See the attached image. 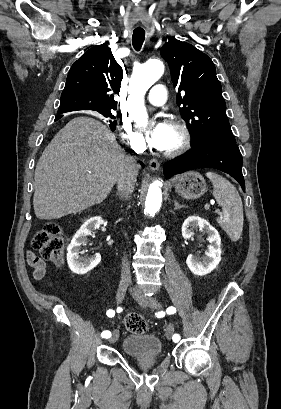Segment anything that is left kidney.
<instances>
[{
	"label": "left kidney",
	"mask_w": 281,
	"mask_h": 409,
	"mask_svg": "<svg viewBox=\"0 0 281 409\" xmlns=\"http://www.w3.org/2000/svg\"><path fill=\"white\" fill-rule=\"evenodd\" d=\"M193 229H204L205 233L209 235L208 241L210 245H208V249L205 251L206 257L197 259V257H193V255H188L186 259V265L189 267L191 273L201 275L202 277V275H208V273L214 271L217 265H219L221 261V239L219 233H217L216 229H214L208 221L201 219V217H196V215L185 219L182 225L183 239H191Z\"/></svg>",
	"instance_id": "left-kidney-1"
}]
</instances>
